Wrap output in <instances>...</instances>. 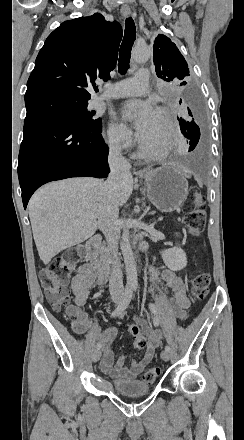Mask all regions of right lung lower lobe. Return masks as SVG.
I'll use <instances>...</instances> for the list:
<instances>
[{
	"label": "right lung lower lobe",
	"mask_w": 244,
	"mask_h": 440,
	"mask_svg": "<svg viewBox=\"0 0 244 440\" xmlns=\"http://www.w3.org/2000/svg\"><path fill=\"white\" fill-rule=\"evenodd\" d=\"M101 123L82 127L60 117L27 114L18 158L24 208L43 184L70 177H107L108 147Z\"/></svg>",
	"instance_id": "98d812e1"
}]
</instances>
